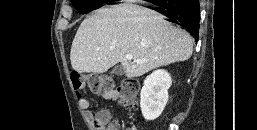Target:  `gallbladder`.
I'll return each instance as SVG.
<instances>
[{
	"label": "gallbladder",
	"mask_w": 257,
	"mask_h": 130,
	"mask_svg": "<svg viewBox=\"0 0 257 130\" xmlns=\"http://www.w3.org/2000/svg\"><path fill=\"white\" fill-rule=\"evenodd\" d=\"M125 70L122 66H116L113 68L112 73L118 76H122L124 74Z\"/></svg>",
	"instance_id": "obj_1"
}]
</instances>
